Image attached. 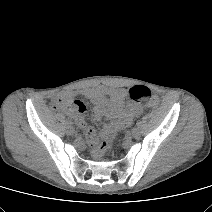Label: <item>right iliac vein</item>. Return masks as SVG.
I'll list each match as a JSON object with an SVG mask.
<instances>
[{"instance_id":"1","label":"right iliac vein","mask_w":212,"mask_h":212,"mask_svg":"<svg viewBox=\"0 0 212 212\" xmlns=\"http://www.w3.org/2000/svg\"><path fill=\"white\" fill-rule=\"evenodd\" d=\"M67 132L72 135L74 133V128L72 126H69L67 129Z\"/></svg>"}]
</instances>
